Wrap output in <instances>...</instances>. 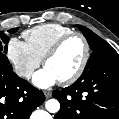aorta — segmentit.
<instances>
[{"mask_svg": "<svg viewBox=\"0 0 119 119\" xmlns=\"http://www.w3.org/2000/svg\"><path fill=\"white\" fill-rule=\"evenodd\" d=\"M46 110L50 113H56L60 109V103L56 99H50L45 104Z\"/></svg>", "mask_w": 119, "mask_h": 119, "instance_id": "1", "label": "aorta"}]
</instances>
